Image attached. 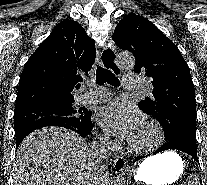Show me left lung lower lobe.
Returning <instances> with one entry per match:
<instances>
[{
	"label": "left lung lower lobe",
	"mask_w": 207,
	"mask_h": 185,
	"mask_svg": "<svg viewBox=\"0 0 207 185\" xmlns=\"http://www.w3.org/2000/svg\"><path fill=\"white\" fill-rule=\"evenodd\" d=\"M169 149H176L188 153L196 161H198L197 149L190 147L189 144H187V142L181 138H176L171 141H166V143L163 144L160 148H158L155 152H153V154ZM144 157L145 156H138L135 158V160H140Z\"/></svg>",
	"instance_id": "left-lung-lower-lobe-1"
}]
</instances>
